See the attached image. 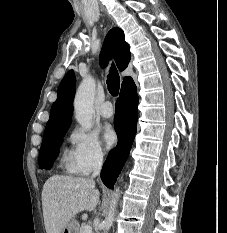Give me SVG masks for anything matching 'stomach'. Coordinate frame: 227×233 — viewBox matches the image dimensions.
<instances>
[{
  "mask_svg": "<svg viewBox=\"0 0 227 233\" xmlns=\"http://www.w3.org/2000/svg\"><path fill=\"white\" fill-rule=\"evenodd\" d=\"M78 231H79V224L73 218L66 224V226L63 228L61 233H78Z\"/></svg>",
  "mask_w": 227,
  "mask_h": 233,
  "instance_id": "obj_1",
  "label": "stomach"
}]
</instances>
